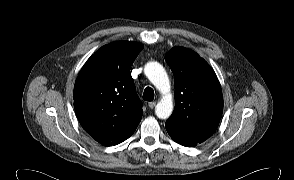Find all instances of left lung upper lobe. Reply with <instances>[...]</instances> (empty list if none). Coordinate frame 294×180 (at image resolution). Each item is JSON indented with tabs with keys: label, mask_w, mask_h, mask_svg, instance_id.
Wrapping results in <instances>:
<instances>
[{
	"label": "left lung upper lobe",
	"mask_w": 294,
	"mask_h": 180,
	"mask_svg": "<svg viewBox=\"0 0 294 180\" xmlns=\"http://www.w3.org/2000/svg\"><path fill=\"white\" fill-rule=\"evenodd\" d=\"M165 60L175 83V109L166 124L188 133L213 134L223 112L215 72L197 53L184 47L172 48Z\"/></svg>",
	"instance_id": "left-lung-upper-lobe-1"
}]
</instances>
